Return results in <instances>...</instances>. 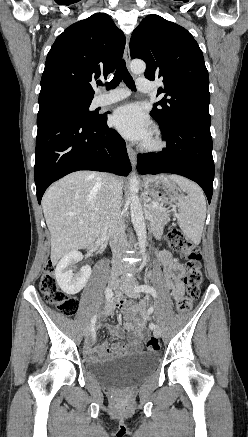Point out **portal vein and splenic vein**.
<instances>
[{
  "mask_svg": "<svg viewBox=\"0 0 248 437\" xmlns=\"http://www.w3.org/2000/svg\"><path fill=\"white\" fill-rule=\"evenodd\" d=\"M158 205V203H156V202H152L151 204H150V206H157ZM91 217H94V214H91Z\"/></svg>",
  "mask_w": 248,
  "mask_h": 437,
  "instance_id": "1",
  "label": "portal vein and splenic vein"
}]
</instances>
